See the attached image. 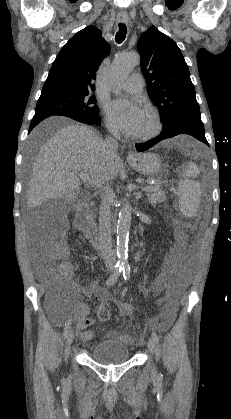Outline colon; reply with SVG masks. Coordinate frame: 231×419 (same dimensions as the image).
<instances>
[{
	"label": "colon",
	"mask_w": 231,
	"mask_h": 419,
	"mask_svg": "<svg viewBox=\"0 0 231 419\" xmlns=\"http://www.w3.org/2000/svg\"><path fill=\"white\" fill-rule=\"evenodd\" d=\"M69 246L66 242L60 240L48 248L49 263L45 272V278L51 285L68 283L72 273V268L68 262ZM98 317L102 321H108L110 310L108 306H102L98 309ZM164 329V325H161ZM125 343H131V339L125 337Z\"/></svg>",
	"instance_id": "obj_1"
}]
</instances>
